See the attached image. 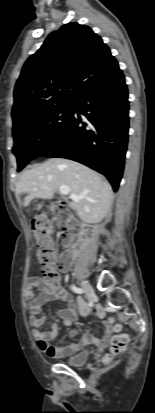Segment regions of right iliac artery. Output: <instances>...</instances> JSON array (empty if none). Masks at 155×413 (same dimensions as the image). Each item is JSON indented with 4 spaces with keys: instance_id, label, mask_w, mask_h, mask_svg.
Here are the masks:
<instances>
[{
    "instance_id": "82829eb1",
    "label": "right iliac artery",
    "mask_w": 155,
    "mask_h": 413,
    "mask_svg": "<svg viewBox=\"0 0 155 413\" xmlns=\"http://www.w3.org/2000/svg\"><path fill=\"white\" fill-rule=\"evenodd\" d=\"M71 290L77 294H83L84 290L82 288H79L75 285H71Z\"/></svg>"
}]
</instances>
